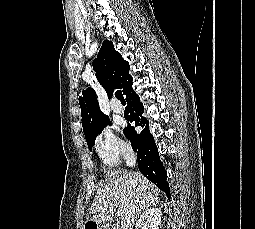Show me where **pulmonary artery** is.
Listing matches in <instances>:
<instances>
[{
	"mask_svg": "<svg viewBox=\"0 0 255 229\" xmlns=\"http://www.w3.org/2000/svg\"><path fill=\"white\" fill-rule=\"evenodd\" d=\"M111 108L115 113H121L123 111V106L116 100L111 101Z\"/></svg>",
	"mask_w": 255,
	"mask_h": 229,
	"instance_id": "obj_1",
	"label": "pulmonary artery"
}]
</instances>
